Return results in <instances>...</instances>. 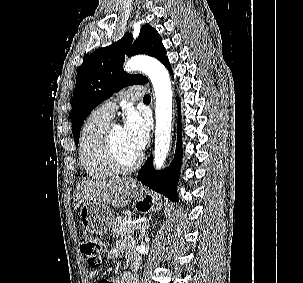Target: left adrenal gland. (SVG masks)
<instances>
[{"label":"left adrenal gland","mask_w":303,"mask_h":283,"mask_svg":"<svg viewBox=\"0 0 303 283\" xmlns=\"http://www.w3.org/2000/svg\"><path fill=\"white\" fill-rule=\"evenodd\" d=\"M149 228H150V225H149V220H148L141 226L140 238H144V236L147 235L146 233Z\"/></svg>","instance_id":"1"}]
</instances>
